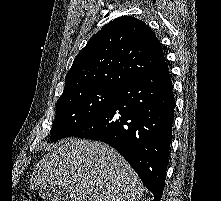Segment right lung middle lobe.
I'll use <instances>...</instances> for the list:
<instances>
[{"instance_id": "1", "label": "right lung middle lobe", "mask_w": 221, "mask_h": 201, "mask_svg": "<svg viewBox=\"0 0 221 201\" xmlns=\"http://www.w3.org/2000/svg\"><path fill=\"white\" fill-rule=\"evenodd\" d=\"M116 92L115 89L88 88L62 95L57 101L50 140L55 142L68 137L105 108Z\"/></svg>"}]
</instances>
